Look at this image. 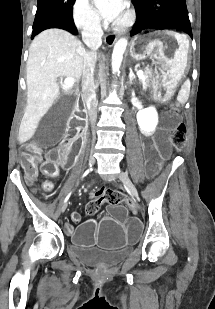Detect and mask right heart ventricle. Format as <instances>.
<instances>
[{
    "instance_id": "right-heart-ventricle-1",
    "label": "right heart ventricle",
    "mask_w": 215,
    "mask_h": 309,
    "mask_svg": "<svg viewBox=\"0 0 215 309\" xmlns=\"http://www.w3.org/2000/svg\"><path fill=\"white\" fill-rule=\"evenodd\" d=\"M88 44H99V43H88Z\"/></svg>"
}]
</instances>
